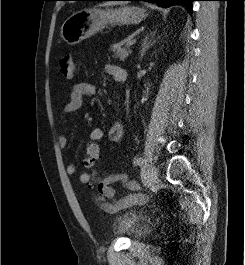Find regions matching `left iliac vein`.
<instances>
[{
	"label": "left iliac vein",
	"instance_id": "obj_1",
	"mask_svg": "<svg viewBox=\"0 0 245 265\" xmlns=\"http://www.w3.org/2000/svg\"><path fill=\"white\" fill-rule=\"evenodd\" d=\"M158 178V171L154 166H149L147 168V181L150 185H154Z\"/></svg>",
	"mask_w": 245,
	"mask_h": 265
}]
</instances>
